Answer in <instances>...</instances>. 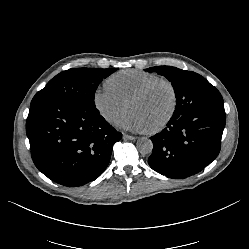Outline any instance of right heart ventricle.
Returning <instances> with one entry per match:
<instances>
[{"mask_svg": "<svg viewBox=\"0 0 249 249\" xmlns=\"http://www.w3.org/2000/svg\"><path fill=\"white\" fill-rule=\"evenodd\" d=\"M161 78L158 74L139 69L120 70L111 74L105 86L122 100L129 98L147 83Z\"/></svg>", "mask_w": 249, "mask_h": 249, "instance_id": "obj_1", "label": "right heart ventricle"}]
</instances>
